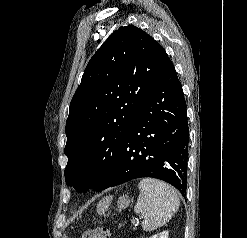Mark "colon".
<instances>
[{"mask_svg":"<svg viewBox=\"0 0 247 238\" xmlns=\"http://www.w3.org/2000/svg\"><path fill=\"white\" fill-rule=\"evenodd\" d=\"M82 238H111V234L106 228H94L86 231Z\"/></svg>","mask_w":247,"mask_h":238,"instance_id":"1","label":"colon"}]
</instances>
